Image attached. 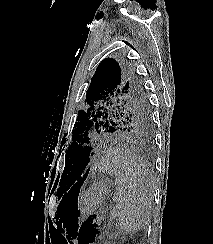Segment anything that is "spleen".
Segmentation results:
<instances>
[{
    "instance_id": "1",
    "label": "spleen",
    "mask_w": 213,
    "mask_h": 244,
    "mask_svg": "<svg viewBox=\"0 0 213 244\" xmlns=\"http://www.w3.org/2000/svg\"><path fill=\"white\" fill-rule=\"evenodd\" d=\"M101 167L115 178L118 226L126 233L140 231L149 221L153 183L145 164L129 152H114Z\"/></svg>"
}]
</instances>
